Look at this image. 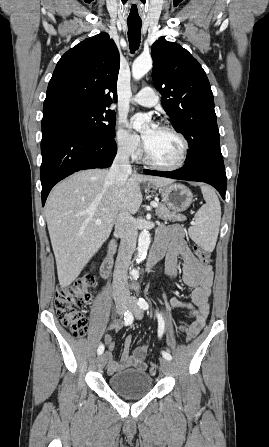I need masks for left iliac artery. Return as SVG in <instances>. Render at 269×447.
<instances>
[{
  "mask_svg": "<svg viewBox=\"0 0 269 447\" xmlns=\"http://www.w3.org/2000/svg\"><path fill=\"white\" fill-rule=\"evenodd\" d=\"M138 305L144 310L149 308L148 303L143 298H139ZM157 318H158V336H159V338H161V336L164 332L165 322H164L162 315L159 313H157ZM162 356L167 360L172 359L171 355L165 351H162Z\"/></svg>",
  "mask_w": 269,
  "mask_h": 447,
  "instance_id": "44dca946",
  "label": "left iliac artery"
}]
</instances>
